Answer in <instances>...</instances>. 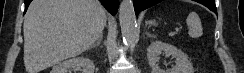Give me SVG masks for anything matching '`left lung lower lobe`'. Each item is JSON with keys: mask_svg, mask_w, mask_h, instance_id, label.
<instances>
[{"mask_svg": "<svg viewBox=\"0 0 244 73\" xmlns=\"http://www.w3.org/2000/svg\"><path fill=\"white\" fill-rule=\"evenodd\" d=\"M163 0H134V8L136 15L139 14L140 11L145 10ZM197 2L205 5L210 10L216 12L215 0H196Z\"/></svg>", "mask_w": 244, "mask_h": 73, "instance_id": "0a47b994", "label": "left lung lower lobe"}]
</instances>
